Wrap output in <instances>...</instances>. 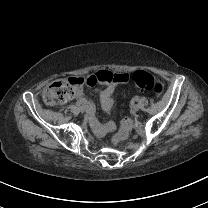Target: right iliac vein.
<instances>
[{
  "mask_svg": "<svg viewBox=\"0 0 208 208\" xmlns=\"http://www.w3.org/2000/svg\"><path fill=\"white\" fill-rule=\"evenodd\" d=\"M79 111H80L81 113H84V112H85V108L82 106V107L79 108Z\"/></svg>",
  "mask_w": 208,
  "mask_h": 208,
  "instance_id": "obj_1",
  "label": "right iliac vein"
}]
</instances>
